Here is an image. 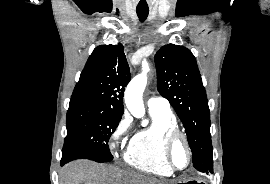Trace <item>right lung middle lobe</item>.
<instances>
[{
  "label": "right lung middle lobe",
  "mask_w": 270,
  "mask_h": 184,
  "mask_svg": "<svg viewBox=\"0 0 270 184\" xmlns=\"http://www.w3.org/2000/svg\"><path fill=\"white\" fill-rule=\"evenodd\" d=\"M120 120L121 117L100 111L87 102H70L61 164L78 158L111 161L108 141Z\"/></svg>",
  "instance_id": "dd1d6c3e"
}]
</instances>
